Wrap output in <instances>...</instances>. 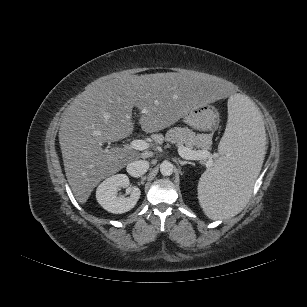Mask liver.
I'll use <instances>...</instances> for the list:
<instances>
[{"label":"liver","mask_w":307,"mask_h":307,"mask_svg":"<svg viewBox=\"0 0 307 307\" xmlns=\"http://www.w3.org/2000/svg\"><path fill=\"white\" fill-rule=\"evenodd\" d=\"M229 96L226 87L189 71L121 75L89 84L65 110L59 131L65 173L76 200L86 203L101 180L140 157L129 148H102L132 133L134 107L140 111L142 130L153 133L197 106Z\"/></svg>","instance_id":"liver-1"}]
</instances>
